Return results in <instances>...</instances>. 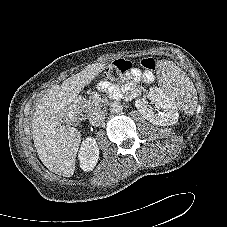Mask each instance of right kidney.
Here are the masks:
<instances>
[{"label": "right kidney", "mask_w": 227, "mask_h": 227, "mask_svg": "<svg viewBox=\"0 0 227 227\" xmlns=\"http://www.w3.org/2000/svg\"><path fill=\"white\" fill-rule=\"evenodd\" d=\"M78 157L82 170L91 171L94 169L99 158V148L95 138L87 137L82 142Z\"/></svg>", "instance_id": "ca27d5eb"}]
</instances>
